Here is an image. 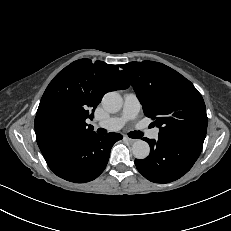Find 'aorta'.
<instances>
[{"instance_id": "obj_1", "label": "aorta", "mask_w": 231, "mask_h": 231, "mask_svg": "<svg viewBox=\"0 0 231 231\" xmlns=\"http://www.w3.org/2000/svg\"><path fill=\"white\" fill-rule=\"evenodd\" d=\"M123 101L117 92H109L104 95L102 105L104 109L110 113L118 112L122 107ZM132 153L137 159H145L150 153V146L143 140H137L132 145Z\"/></svg>"}]
</instances>
